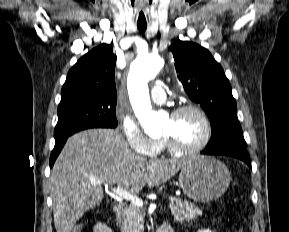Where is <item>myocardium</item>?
Masks as SVG:
<instances>
[{
    "label": "myocardium",
    "instance_id": "myocardium-1",
    "mask_svg": "<svg viewBox=\"0 0 289 232\" xmlns=\"http://www.w3.org/2000/svg\"><path fill=\"white\" fill-rule=\"evenodd\" d=\"M187 111H193L199 115V117L201 118V120L204 124V127H205L204 136L199 143L192 145V146H182V145L177 144L176 142L172 141L171 139H169L167 137H163L162 140H163L165 146L172 153H177V154L196 153V152L204 149L211 140L212 124H211V121H210L208 115L200 106H198L196 104L181 105V106L175 108L171 112L170 116L175 118V117H178L179 115H181L182 113L187 112Z\"/></svg>",
    "mask_w": 289,
    "mask_h": 232
}]
</instances>
